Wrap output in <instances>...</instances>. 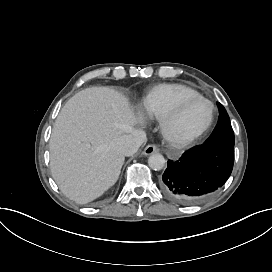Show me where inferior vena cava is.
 I'll use <instances>...</instances> for the list:
<instances>
[{
	"mask_svg": "<svg viewBox=\"0 0 272 272\" xmlns=\"http://www.w3.org/2000/svg\"><path fill=\"white\" fill-rule=\"evenodd\" d=\"M146 141V133L142 130H135L130 135L121 136L115 145L116 150L124 156H131Z\"/></svg>",
	"mask_w": 272,
	"mask_h": 272,
	"instance_id": "602c4592",
	"label": "inferior vena cava"
}]
</instances>
